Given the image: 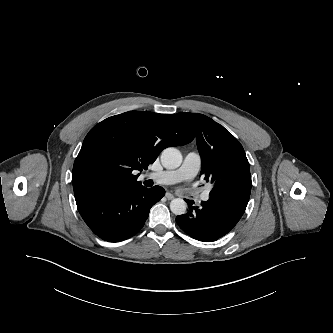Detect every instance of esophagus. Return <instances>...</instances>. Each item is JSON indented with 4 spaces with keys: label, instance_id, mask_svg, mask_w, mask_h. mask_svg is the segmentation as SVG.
I'll return each instance as SVG.
<instances>
[{
    "label": "esophagus",
    "instance_id": "esophagus-1",
    "mask_svg": "<svg viewBox=\"0 0 333 333\" xmlns=\"http://www.w3.org/2000/svg\"><path fill=\"white\" fill-rule=\"evenodd\" d=\"M165 197H166L168 200H171V199H173L175 196H174L172 193H170V192H166Z\"/></svg>",
    "mask_w": 333,
    "mask_h": 333
}]
</instances>
